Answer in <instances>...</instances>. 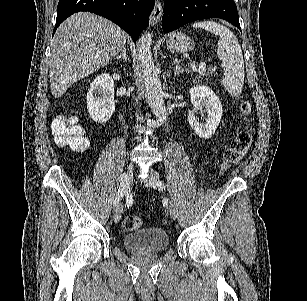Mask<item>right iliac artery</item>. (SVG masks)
Instances as JSON below:
<instances>
[{
    "label": "right iliac artery",
    "instance_id": "1",
    "mask_svg": "<svg viewBox=\"0 0 307 301\" xmlns=\"http://www.w3.org/2000/svg\"><path fill=\"white\" fill-rule=\"evenodd\" d=\"M123 195H124V188H123V190L119 189L117 194H116L115 200H114V207H116L118 205V203L122 199Z\"/></svg>",
    "mask_w": 307,
    "mask_h": 301
}]
</instances>
